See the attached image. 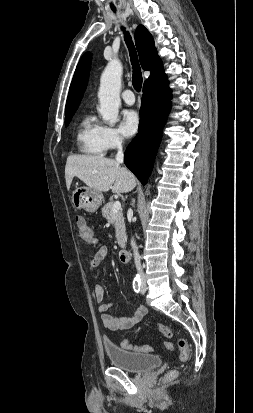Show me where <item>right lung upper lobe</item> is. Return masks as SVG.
<instances>
[{"instance_id": "1", "label": "right lung upper lobe", "mask_w": 253, "mask_h": 413, "mask_svg": "<svg viewBox=\"0 0 253 413\" xmlns=\"http://www.w3.org/2000/svg\"><path fill=\"white\" fill-rule=\"evenodd\" d=\"M134 37L141 66L144 70L150 71V77L144 82L145 84L164 73L162 62L157 54L152 35L143 25L137 27ZM89 69L90 54L86 53L76 67L68 93L65 116L73 115L78 108L87 85Z\"/></svg>"}]
</instances>
